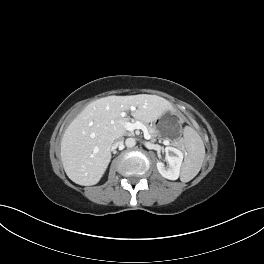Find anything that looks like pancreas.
Listing matches in <instances>:
<instances>
[{
    "mask_svg": "<svg viewBox=\"0 0 264 264\" xmlns=\"http://www.w3.org/2000/svg\"><path fill=\"white\" fill-rule=\"evenodd\" d=\"M142 122V121H141ZM143 123V122H142ZM146 127H147V129H148V131H149V134H150V136L152 137V138H155V137H157V136H159L158 135V132H157V130H156V128L154 127V126H149V125H147V124H145V123H143ZM175 146H179L178 144H175V143H173Z\"/></svg>",
    "mask_w": 264,
    "mask_h": 264,
    "instance_id": "obj_1",
    "label": "pancreas"
}]
</instances>
